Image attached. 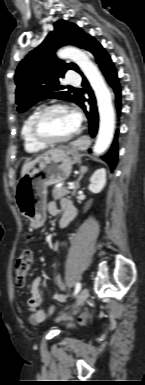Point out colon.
I'll list each match as a JSON object with an SVG mask.
<instances>
[{"instance_id": "5ec220e1", "label": "colon", "mask_w": 145, "mask_h": 385, "mask_svg": "<svg viewBox=\"0 0 145 385\" xmlns=\"http://www.w3.org/2000/svg\"><path fill=\"white\" fill-rule=\"evenodd\" d=\"M33 261V251L25 248L19 254L15 262L16 282L19 286H23L29 273Z\"/></svg>"}]
</instances>
